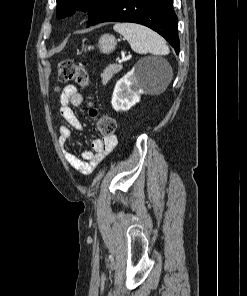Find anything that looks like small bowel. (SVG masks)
Segmentation results:
<instances>
[{"mask_svg":"<svg viewBox=\"0 0 247 296\" xmlns=\"http://www.w3.org/2000/svg\"><path fill=\"white\" fill-rule=\"evenodd\" d=\"M83 101V95L74 85H67L60 95L58 113L69 126L77 130H83V125L73 108L80 107ZM58 136L68 164L81 175L91 174L101 161L113 151L117 144L116 136L95 139L91 143V150L84 151L82 156L78 157L68 147L71 138L70 128L68 126L59 127Z\"/></svg>","mask_w":247,"mask_h":296,"instance_id":"obj_1","label":"small bowel"}]
</instances>
